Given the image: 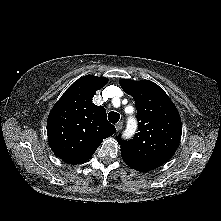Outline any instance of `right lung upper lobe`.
<instances>
[{"label": "right lung upper lobe", "mask_w": 221, "mask_h": 221, "mask_svg": "<svg viewBox=\"0 0 221 221\" xmlns=\"http://www.w3.org/2000/svg\"><path fill=\"white\" fill-rule=\"evenodd\" d=\"M107 78L86 75L73 83L54 105L47 121L52 151L63 161L80 164L87 161L103 139L116 128L107 121L106 110L92 98L104 87Z\"/></svg>", "instance_id": "right-lung-upper-lobe-1"}]
</instances>
